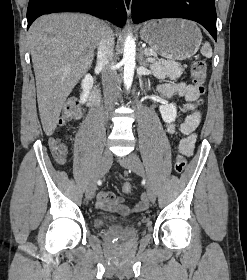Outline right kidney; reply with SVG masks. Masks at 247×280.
Segmentation results:
<instances>
[{"instance_id":"right-kidney-1","label":"right kidney","mask_w":247,"mask_h":280,"mask_svg":"<svg viewBox=\"0 0 247 280\" xmlns=\"http://www.w3.org/2000/svg\"><path fill=\"white\" fill-rule=\"evenodd\" d=\"M82 89H83V92L82 94L80 95V100H81V103H85L89 94H90V90L93 86V79L91 78V76L89 74L85 75L84 79L82 80Z\"/></svg>"}]
</instances>
